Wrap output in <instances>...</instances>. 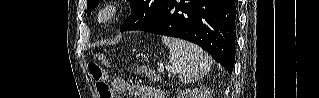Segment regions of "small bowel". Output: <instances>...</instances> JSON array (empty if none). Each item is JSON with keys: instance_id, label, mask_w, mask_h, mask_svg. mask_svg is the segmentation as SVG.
<instances>
[{"instance_id": "small-bowel-1", "label": "small bowel", "mask_w": 319, "mask_h": 98, "mask_svg": "<svg viewBox=\"0 0 319 98\" xmlns=\"http://www.w3.org/2000/svg\"><path fill=\"white\" fill-rule=\"evenodd\" d=\"M110 82L116 91V98L126 94L138 98H164L161 91L143 84H131L123 79L111 78Z\"/></svg>"}]
</instances>
